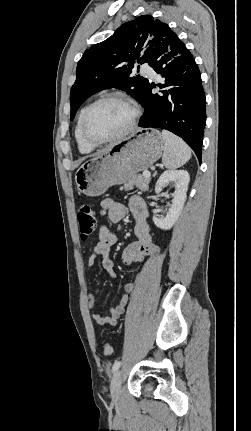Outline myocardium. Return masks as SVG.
Segmentation results:
<instances>
[{
    "label": "myocardium",
    "mask_w": 251,
    "mask_h": 431,
    "mask_svg": "<svg viewBox=\"0 0 251 431\" xmlns=\"http://www.w3.org/2000/svg\"><path fill=\"white\" fill-rule=\"evenodd\" d=\"M108 101L120 102V103H123V104L127 105L128 107H130V109L132 110V118H131L129 125L122 132H120V133H118L112 137H109V138H105L102 140H96L88 134L87 122H88V119H89L91 113L100 104H102L104 102H108ZM140 115H141L140 108H139L138 104L136 102H134L132 99H130L124 95L116 94V93L103 95L102 97L98 98L93 103H91L86 108L85 112L83 113V116L81 119V126H80L81 127V135H82V137L86 143H88L89 145L95 146V147L118 141V140L128 136L130 133H132L134 131V129L136 128V125L139 121Z\"/></svg>",
    "instance_id": "obj_1"
}]
</instances>
